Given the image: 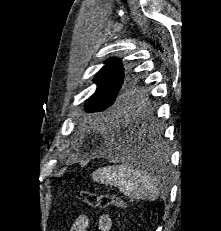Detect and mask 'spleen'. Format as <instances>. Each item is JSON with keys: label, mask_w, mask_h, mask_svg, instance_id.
Segmentation results:
<instances>
[{"label": "spleen", "mask_w": 221, "mask_h": 231, "mask_svg": "<svg viewBox=\"0 0 221 231\" xmlns=\"http://www.w3.org/2000/svg\"><path fill=\"white\" fill-rule=\"evenodd\" d=\"M93 177L103 184L116 186L124 195L136 200H155L160 194L154 178L127 161L101 168Z\"/></svg>", "instance_id": "1"}]
</instances>
